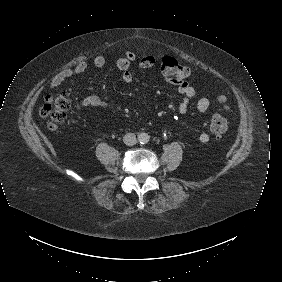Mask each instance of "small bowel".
Returning <instances> with one entry per match:
<instances>
[{
    "label": "small bowel",
    "instance_id": "c3829d8e",
    "mask_svg": "<svg viewBox=\"0 0 282 282\" xmlns=\"http://www.w3.org/2000/svg\"><path fill=\"white\" fill-rule=\"evenodd\" d=\"M136 60V55L132 51H126L122 57H120L116 61L117 68L122 72V80L125 83H131L133 81V75L130 72L129 68L132 62ZM93 65L97 68H101L105 65L106 59L104 56H96L93 59ZM155 65V58L153 56H145L140 59L138 66L140 69L145 70L152 68ZM89 67V63L87 61H80L75 66L70 68H65L58 73H56L50 80L49 88L50 90H54L59 87L62 83L68 80L71 77L76 75H80L84 73ZM165 80L176 86L178 92L181 95V100L178 103V112L180 114H186L190 107V102L192 100H196V109L198 112L203 113L208 110L210 106V100L207 97L200 96L199 92L196 88L191 86L186 80L184 81H176L172 77H165ZM104 104L103 100L97 95H90L84 98L81 101L82 107H94L100 108ZM209 135L206 132H201L198 135V141L202 144H206L209 142Z\"/></svg>",
    "mask_w": 282,
    "mask_h": 282
}]
</instances>
